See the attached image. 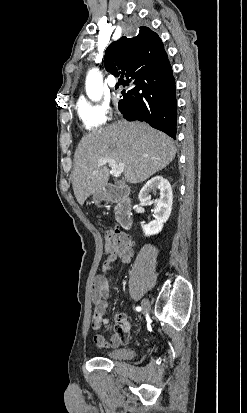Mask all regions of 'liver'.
<instances>
[{"mask_svg":"<svg viewBox=\"0 0 247 413\" xmlns=\"http://www.w3.org/2000/svg\"><path fill=\"white\" fill-rule=\"evenodd\" d=\"M175 144L167 134L147 122L117 120L82 136L74 154L72 184L79 204L87 196L103 190L109 180L108 166H98V158L125 162L127 182H142L165 168L175 158Z\"/></svg>","mask_w":247,"mask_h":413,"instance_id":"1","label":"liver"}]
</instances>
